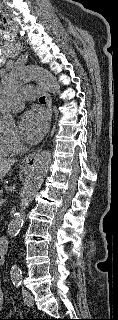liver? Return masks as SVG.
<instances>
[{"label": "liver", "instance_id": "6515ba94", "mask_svg": "<svg viewBox=\"0 0 118 320\" xmlns=\"http://www.w3.org/2000/svg\"><path fill=\"white\" fill-rule=\"evenodd\" d=\"M14 163V159L0 158V179L5 177L6 173L11 169V166L14 165Z\"/></svg>", "mask_w": 118, "mask_h": 320}]
</instances>
